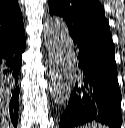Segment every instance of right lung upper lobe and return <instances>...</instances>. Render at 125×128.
<instances>
[{
    "label": "right lung upper lobe",
    "instance_id": "1",
    "mask_svg": "<svg viewBox=\"0 0 125 128\" xmlns=\"http://www.w3.org/2000/svg\"><path fill=\"white\" fill-rule=\"evenodd\" d=\"M24 28L18 0H0V39Z\"/></svg>",
    "mask_w": 125,
    "mask_h": 128
}]
</instances>
